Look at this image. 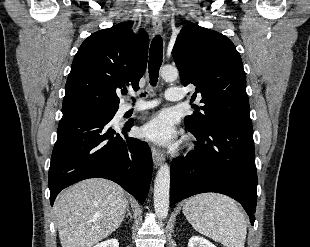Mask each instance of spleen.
<instances>
[{"label": "spleen", "instance_id": "obj_1", "mask_svg": "<svg viewBox=\"0 0 310 247\" xmlns=\"http://www.w3.org/2000/svg\"><path fill=\"white\" fill-rule=\"evenodd\" d=\"M183 214L200 234L227 247H244L246 219L230 197L217 193L193 196L185 202Z\"/></svg>", "mask_w": 310, "mask_h": 247}]
</instances>
